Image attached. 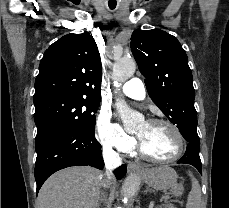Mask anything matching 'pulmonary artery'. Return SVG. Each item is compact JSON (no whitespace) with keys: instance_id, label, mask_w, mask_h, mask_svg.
Wrapping results in <instances>:
<instances>
[{"instance_id":"1","label":"pulmonary artery","mask_w":229,"mask_h":208,"mask_svg":"<svg viewBox=\"0 0 229 208\" xmlns=\"http://www.w3.org/2000/svg\"><path fill=\"white\" fill-rule=\"evenodd\" d=\"M123 93L133 99L143 100L145 98V87L142 79L129 77L122 86Z\"/></svg>"}]
</instances>
